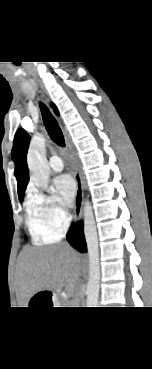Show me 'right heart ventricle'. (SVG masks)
Wrapping results in <instances>:
<instances>
[{"mask_svg":"<svg viewBox=\"0 0 152 369\" xmlns=\"http://www.w3.org/2000/svg\"><path fill=\"white\" fill-rule=\"evenodd\" d=\"M26 224L35 242H49L60 236L49 232L44 221L37 214L30 201L27 205Z\"/></svg>","mask_w":152,"mask_h":369,"instance_id":"obj_1","label":"right heart ventricle"}]
</instances>
